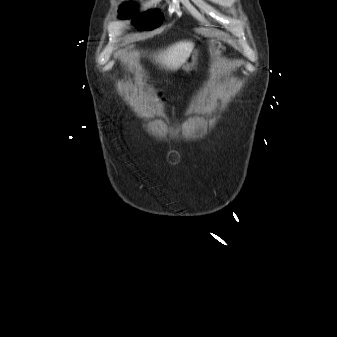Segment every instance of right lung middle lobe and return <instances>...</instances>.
<instances>
[{"instance_id":"right-lung-middle-lobe-1","label":"right lung middle lobe","mask_w":337,"mask_h":337,"mask_svg":"<svg viewBox=\"0 0 337 337\" xmlns=\"http://www.w3.org/2000/svg\"><path fill=\"white\" fill-rule=\"evenodd\" d=\"M135 11V7L133 4L126 3L120 7L119 12L122 14L119 16L120 18H128ZM162 14L159 10L148 11L137 18L133 19L132 24L137 26L140 30H152L155 27H158L162 22Z\"/></svg>"}]
</instances>
